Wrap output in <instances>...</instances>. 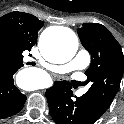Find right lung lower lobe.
Listing matches in <instances>:
<instances>
[{
  "mask_svg": "<svg viewBox=\"0 0 124 124\" xmlns=\"http://www.w3.org/2000/svg\"><path fill=\"white\" fill-rule=\"evenodd\" d=\"M18 68L0 67V119L18 113L24 106L26 96L14 85L13 75Z\"/></svg>",
  "mask_w": 124,
  "mask_h": 124,
  "instance_id": "1",
  "label": "right lung lower lobe"
}]
</instances>
